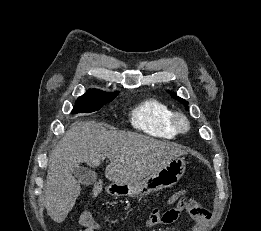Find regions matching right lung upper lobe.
<instances>
[{
    "label": "right lung upper lobe",
    "mask_w": 261,
    "mask_h": 231,
    "mask_svg": "<svg viewBox=\"0 0 261 231\" xmlns=\"http://www.w3.org/2000/svg\"><path fill=\"white\" fill-rule=\"evenodd\" d=\"M115 93H117V92H115ZM105 94H113V93H106V92H102L100 90L92 89V90L87 91L82 96H94V95H105Z\"/></svg>",
    "instance_id": "right-lung-upper-lobe-1"
}]
</instances>
